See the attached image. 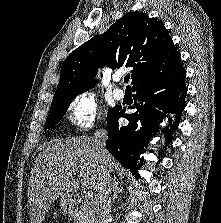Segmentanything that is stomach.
<instances>
[{"instance_id":"obj_1","label":"stomach","mask_w":221,"mask_h":223,"mask_svg":"<svg viewBox=\"0 0 221 223\" xmlns=\"http://www.w3.org/2000/svg\"><path fill=\"white\" fill-rule=\"evenodd\" d=\"M60 207L64 213L71 214L73 211L72 197L70 195L61 197Z\"/></svg>"}]
</instances>
